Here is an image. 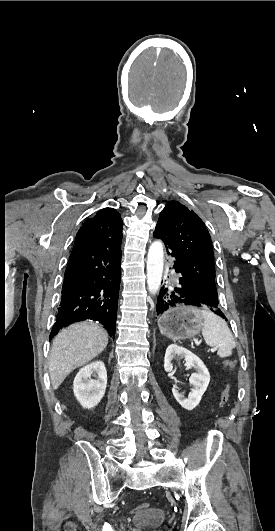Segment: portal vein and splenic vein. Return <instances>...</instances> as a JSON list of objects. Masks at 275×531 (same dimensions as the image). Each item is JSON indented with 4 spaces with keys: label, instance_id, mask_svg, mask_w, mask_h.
<instances>
[{
    "label": "portal vein and splenic vein",
    "instance_id": "obj_1",
    "mask_svg": "<svg viewBox=\"0 0 275 531\" xmlns=\"http://www.w3.org/2000/svg\"><path fill=\"white\" fill-rule=\"evenodd\" d=\"M194 344H197V346H201L200 341L198 339H194ZM211 353H215V348H210Z\"/></svg>",
    "mask_w": 275,
    "mask_h": 531
}]
</instances>
